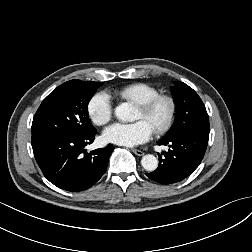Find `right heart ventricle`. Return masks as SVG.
I'll use <instances>...</instances> for the list:
<instances>
[{
	"label": "right heart ventricle",
	"instance_id": "right-heart-ventricle-1",
	"mask_svg": "<svg viewBox=\"0 0 252 252\" xmlns=\"http://www.w3.org/2000/svg\"><path fill=\"white\" fill-rule=\"evenodd\" d=\"M116 93L121 98L138 106L159 95V92L155 87L146 83H133L121 88Z\"/></svg>",
	"mask_w": 252,
	"mask_h": 252
}]
</instances>
